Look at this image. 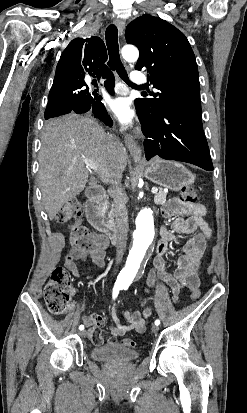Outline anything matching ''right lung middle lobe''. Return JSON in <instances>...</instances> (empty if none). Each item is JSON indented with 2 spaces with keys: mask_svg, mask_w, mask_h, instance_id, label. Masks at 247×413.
Returning a JSON list of instances; mask_svg holds the SVG:
<instances>
[{
  "mask_svg": "<svg viewBox=\"0 0 247 413\" xmlns=\"http://www.w3.org/2000/svg\"><path fill=\"white\" fill-rule=\"evenodd\" d=\"M81 87L82 84L75 81L54 82L49 93V99L71 96L77 93Z\"/></svg>",
  "mask_w": 247,
  "mask_h": 413,
  "instance_id": "obj_1",
  "label": "right lung middle lobe"
}]
</instances>
